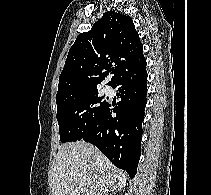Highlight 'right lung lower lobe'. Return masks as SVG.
<instances>
[{"mask_svg": "<svg viewBox=\"0 0 211 195\" xmlns=\"http://www.w3.org/2000/svg\"><path fill=\"white\" fill-rule=\"evenodd\" d=\"M146 81V65L121 76L112 85L118 87L121 100L116 105L108 103L80 139L94 144L116 167L125 170L130 178H134L140 159Z\"/></svg>", "mask_w": 211, "mask_h": 195, "instance_id": "98d812e1", "label": "right lung lower lobe"}]
</instances>
